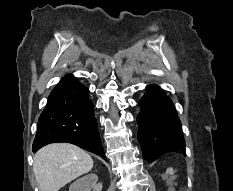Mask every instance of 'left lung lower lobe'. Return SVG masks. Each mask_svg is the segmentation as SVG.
Segmentation results:
<instances>
[{"instance_id":"obj_1","label":"left lung lower lobe","mask_w":233,"mask_h":191,"mask_svg":"<svg viewBox=\"0 0 233 191\" xmlns=\"http://www.w3.org/2000/svg\"><path fill=\"white\" fill-rule=\"evenodd\" d=\"M138 104V141L143 159L150 163L168 153L186 156L181 122L172 100L159 87L150 85Z\"/></svg>"}]
</instances>
